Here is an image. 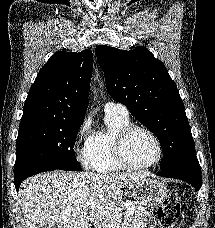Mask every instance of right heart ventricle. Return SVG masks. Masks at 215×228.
I'll return each instance as SVG.
<instances>
[{"label": "right heart ventricle", "mask_w": 215, "mask_h": 228, "mask_svg": "<svg viewBox=\"0 0 215 228\" xmlns=\"http://www.w3.org/2000/svg\"><path fill=\"white\" fill-rule=\"evenodd\" d=\"M106 123L108 129L92 134L84 147L88 168L100 173H110L121 169L114 156L113 143L117 133L130 124V118L129 115L116 112L106 113Z\"/></svg>", "instance_id": "e07e8e85"}]
</instances>
